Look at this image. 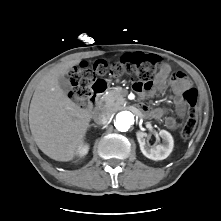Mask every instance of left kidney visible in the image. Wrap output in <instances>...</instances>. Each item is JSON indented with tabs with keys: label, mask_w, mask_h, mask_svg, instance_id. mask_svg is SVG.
I'll return each instance as SVG.
<instances>
[{
	"label": "left kidney",
	"mask_w": 221,
	"mask_h": 221,
	"mask_svg": "<svg viewBox=\"0 0 221 221\" xmlns=\"http://www.w3.org/2000/svg\"><path fill=\"white\" fill-rule=\"evenodd\" d=\"M159 135L163 139V144L149 147V145L145 142L146 134L140 131L136 134L140 150L143 155L155 161L166 159L174 147L173 137L168 131L161 130Z\"/></svg>",
	"instance_id": "left-kidney-1"
}]
</instances>
